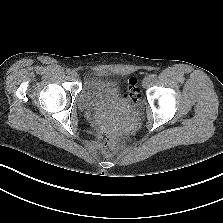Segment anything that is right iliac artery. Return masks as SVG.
Segmentation results:
<instances>
[{
	"instance_id": "right-iliac-artery-1",
	"label": "right iliac artery",
	"mask_w": 223,
	"mask_h": 223,
	"mask_svg": "<svg viewBox=\"0 0 223 223\" xmlns=\"http://www.w3.org/2000/svg\"><path fill=\"white\" fill-rule=\"evenodd\" d=\"M66 73H67V74H70V73H71V70H70V69H67V70H66Z\"/></svg>"
}]
</instances>
